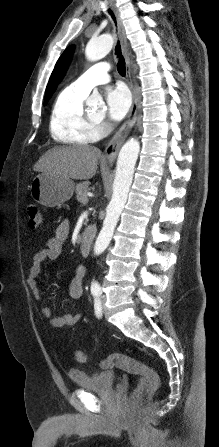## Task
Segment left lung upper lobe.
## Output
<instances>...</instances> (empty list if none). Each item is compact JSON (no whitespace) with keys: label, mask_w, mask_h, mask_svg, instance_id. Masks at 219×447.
Segmentation results:
<instances>
[{"label":"left lung upper lobe","mask_w":219,"mask_h":447,"mask_svg":"<svg viewBox=\"0 0 219 447\" xmlns=\"http://www.w3.org/2000/svg\"><path fill=\"white\" fill-rule=\"evenodd\" d=\"M73 46L68 47L63 54L60 56L59 60L57 61L55 68L51 74V77L49 79L48 85L46 87V93H45V100L44 104L48 102L50 97L52 96L53 92L55 91L57 85L60 83L61 79L63 78L67 67L69 65L72 53H73Z\"/></svg>","instance_id":"5c2ea615"}]
</instances>
